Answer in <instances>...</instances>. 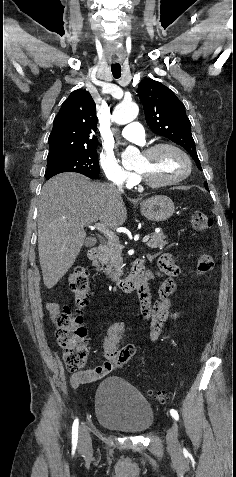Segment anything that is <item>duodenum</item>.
<instances>
[{
    "label": "duodenum",
    "instance_id": "obj_1",
    "mask_svg": "<svg viewBox=\"0 0 236 477\" xmlns=\"http://www.w3.org/2000/svg\"><path fill=\"white\" fill-rule=\"evenodd\" d=\"M99 248L92 247L88 251V258L96 262L99 258ZM146 260L143 258L136 259L133 262L129 275L125 278H119L115 281L119 290L125 294L139 291L142 287L146 286L148 278L145 275Z\"/></svg>",
    "mask_w": 236,
    "mask_h": 477
}]
</instances>
